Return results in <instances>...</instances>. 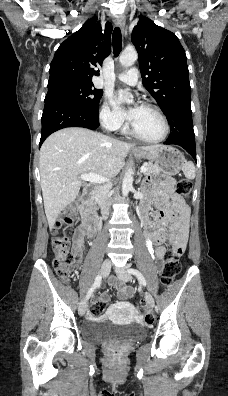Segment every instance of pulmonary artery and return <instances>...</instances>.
Returning a JSON list of instances; mask_svg holds the SVG:
<instances>
[{
    "label": "pulmonary artery",
    "instance_id": "obj_1",
    "mask_svg": "<svg viewBox=\"0 0 228 396\" xmlns=\"http://www.w3.org/2000/svg\"><path fill=\"white\" fill-rule=\"evenodd\" d=\"M117 79L123 83L134 86L138 82V71L137 69L132 68L127 72L119 74L117 76Z\"/></svg>",
    "mask_w": 228,
    "mask_h": 396
}]
</instances>
